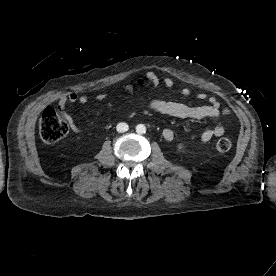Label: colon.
<instances>
[{
    "mask_svg": "<svg viewBox=\"0 0 276 276\" xmlns=\"http://www.w3.org/2000/svg\"><path fill=\"white\" fill-rule=\"evenodd\" d=\"M69 131V124L57 110L53 107H47L39 121V133L41 139L46 143H55L61 140ZM232 142L229 138H220L216 144L215 149L224 153L231 149Z\"/></svg>",
    "mask_w": 276,
    "mask_h": 276,
    "instance_id": "5ec220e1",
    "label": "colon"
}]
</instances>
